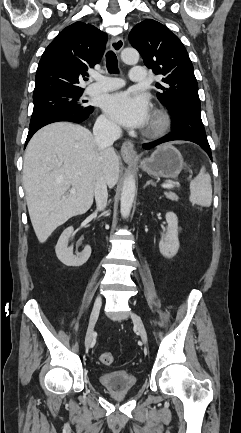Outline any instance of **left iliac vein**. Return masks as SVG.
Returning <instances> with one entry per match:
<instances>
[{
  "label": "left iliac vein",
  "instance_id": "left-iliac-vein-1",
  "mask_svg": "<svg viewBox=\"0 0 241 433\" xmlns=\"http://www.w3.org/2000/svg\"><path fill=\"white\" fill-rule=\"evenodd\" d=\"M131 318H132V321H133L136 329L138 330V333L141 337L142 342L144 343V345H146L148 337H147V332L145 330V327H144V324H143L141 318L135 313H131Z\"/></svg>",
  "mask_w": 241,
  "mask_h": 433
}]
</instances>
